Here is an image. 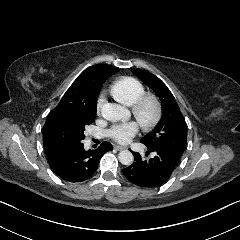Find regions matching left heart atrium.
Listing matches in <instances>:
<instances>
[{
	"instance_id": "39dd6f15",
	"label": "left heart atrium",
	"mask_w": 240,
	"mask_h": 240,
	"mask_svg": "<svg viewBox=\"0 0 240 240\" xmlns=\"http://www.w3.org/2000/svg\"><path fill=\"white\" fill-rule=\"evenodd\" d=\"M139 126L136 122H128L114 126L109 131V137L118 143L125 144L138 132Z\"/></svg>"
}]
</instances>
